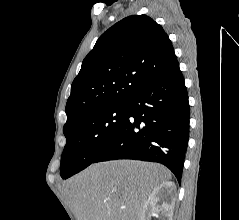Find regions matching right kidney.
I'll return each instance as SVG.
<instances>
[{"label": "right kidney", "instance_id": "obj_1", "mask_svg": "<svg viewBox=\"0 0 239 220\" xmlns=\"http://www.w3.org/2000/svg\"><path fill=\"white\" fill-rule=\"evenodd\" d=\"M175 191L176 186L171 181L156 186L143 206L140 220H150L152 214H157L159 220H172Z\"/></svg>", "mask_w": 239, "mask_h": 220}]
</instances>
